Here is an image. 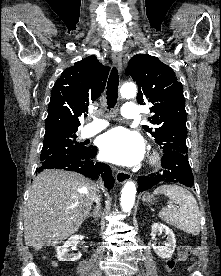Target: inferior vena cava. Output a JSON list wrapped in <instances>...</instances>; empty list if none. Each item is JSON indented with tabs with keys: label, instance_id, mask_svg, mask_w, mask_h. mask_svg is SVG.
<instances>
[{
	"label": "inferior vena cava",
	"instance_id": "1",
	"mask_svg": "<svg viewBox=\"0 0 221 276\" xmlns=\"http://www.w3.org/2000/svg\"><path fill=\"white\" fill-rule=\"evenodd\" d=\"M96 203H97L96 208H99V210H100V205H99V203H98V199H96ZM96 208H95V209H96Z\"/></svg>",
	"mask_w": 221,
	"mask_h": 276
}]
</instances>
